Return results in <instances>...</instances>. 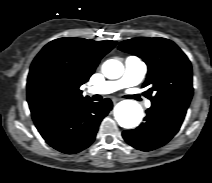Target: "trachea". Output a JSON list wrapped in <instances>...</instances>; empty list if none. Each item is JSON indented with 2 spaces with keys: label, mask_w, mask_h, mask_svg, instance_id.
<instances>
[{
  "label": "trachea",
  "mask_w": 212,
  "mask_h": 183,
  "mask_svg": "<svg viewBox=\"0 0 212 183\" xmlns=\"http://www.w3.org/2000/svg\"><path fill=\"white\" fill-rule=\"evenodd\" d=\"M102 99V97L100 96V95H94L93 96V100L94 101H99V100H101Z\"/></svg>",
  "instance_id": "3493384b"
}]
</instances>
